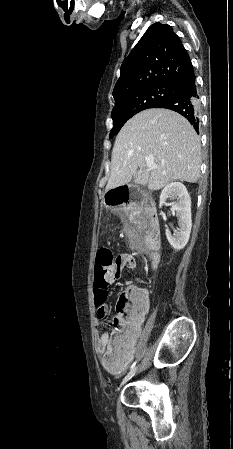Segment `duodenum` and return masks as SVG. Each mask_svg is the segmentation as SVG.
Segmentation results:
<instances>
[{"label":"duodenum","instance_id":"duodenum-1","mask_svg":"<svg viewBox=\"0 0 233 449\" xmlns=\"http://www.w3.org/2000/svg\"><path fill=\"white\" fill-rule=\"evenodd\" d=\"M106 206H126L128 212L141 223L148 244L155 247L159 241V230L154 209V201L147 195L138 192L133 186H110L104 193ZM139 206V210L135 208ZM152 263H157V257H152Z\"/></svg>","mask_w":233,"mask_h":449}]
</instances>
